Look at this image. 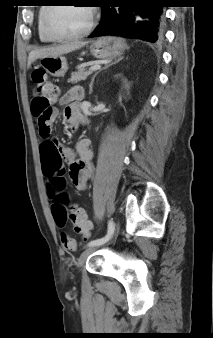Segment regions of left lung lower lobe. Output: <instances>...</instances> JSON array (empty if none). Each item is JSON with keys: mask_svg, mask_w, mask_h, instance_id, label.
Returning a JSON list of instances; mask_svg holds the SVG:
<instances>
[{"mask_svg": "<svg viewBox=\"0 0 213 338\" xmlns=\"http://www.w3.org/2000/svg\"><path fill=\"white\" fill-rule=\"evenodd\" d=\"M100 24L89 37L116 35L156 43L163 39L162 0H103Z\"/></svg>", "mask_w": 213, "mask_h": 338, "instance_id": "0a47b994", "label": "left lung lower lobe"}]
</instances>
